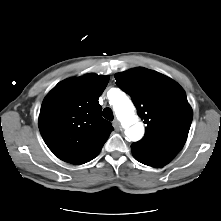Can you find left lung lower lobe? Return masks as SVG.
<instances>
[{"label": "left lung lower lobe", "instance_id": "left-lung-lower-lobe-1", "mask_svg": "<svg viewBox=\"0 0 221 221\" xmlns=\"http://www.w3.org/2000/svg\"><path fill=\"white\" fill-rule=\"evenodd\" d=\"M131 149H132V154H133L134 158L136 160H138L139 162H141L145 165H148V166H152V167H162V166H164V165L150 159L141 150H139L137 148H134L133 146H131Z\"/></svg>", "mask_w": 221, "mask_h": 221}]
</instances>
